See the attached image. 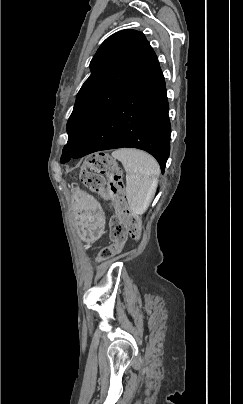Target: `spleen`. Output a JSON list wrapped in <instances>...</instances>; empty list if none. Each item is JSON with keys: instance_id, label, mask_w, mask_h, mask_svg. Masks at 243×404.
<instances>
[{"instance_id": "obj_1", "label": "spleen", "mask_w": 243, "mask_h": 404, "mask_svg": "<svg viewBox=\"0 0 243 404\" xmlns=\"http://www.w3.org/2000/svg\"><path fill=\"white\" fill-rule=\"evenodd\" d=\"M126 170V198L133 216L146 212L157 188L160 168L155 158L136 148L112 152Z\"/></svg>"}]
</instances>
